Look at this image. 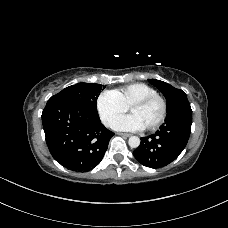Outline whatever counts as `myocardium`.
I'll use <instances>...</instances> for the list:
<instances>
[{
  "label": "myocardium",
  "instance_id": "1",
  "mask_svg": "<svg viewBox=\"0 0 228 228\" xmlns=\"http://www.w3.org/2000/svg\"><path fill=\"white\" fill-rule=\"evenodd\" d=\"M155 100L159 101L161 104V113H160L158 119L152 125L145 128L148 131H153V130L157 129L165 120L166 115H167V111H168V104H167L166 99L159 94H154V95H149V96H145L143 98H140V99L134 101L129 106V111H130L134 107L145 106V105H147V104H149Z\"/></svg>",
  "mask_w": 228,
  "mask_h": 228
}]
</instances>
